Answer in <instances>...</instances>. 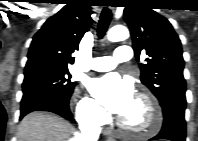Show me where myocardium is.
<instances>
[{"mask_svg":"<svg viewBox=\"0 0 198 141\" xmlns=\"http://www.w3.org/2000/svg\"><path fill=\"white\" fill-rule=\"evenodd\" d=\"M136 99L143 103L147 109L148 124L141 128L134 127L125 122L121 117L118 119L119 126L134 135L152 134L156 132L161 123V115L157 103L146 93H139Z\"/></svg>","mask_w":198,"mask_h":141,"instance_id":"obj_1","label":"myocardium"}]
</instances>
